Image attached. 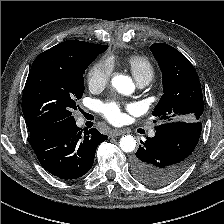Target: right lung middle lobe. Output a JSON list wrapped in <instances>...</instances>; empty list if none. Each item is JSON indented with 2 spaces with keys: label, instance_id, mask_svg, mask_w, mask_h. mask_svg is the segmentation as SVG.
<instances>
[{
  "label": "right lung middle lobe",
  "instance_id": "obj_1",
  "mask_svg": "<svg viewBox=\"0 0 224 224\" xmlns=\"http://www.w3.org/2000/svg\"><path fill=\"white\" fill-rule=\"evenodd\" d=\"M107 45L83 60L33 62L22 98L25 122L30 130L47 123L72 121L76 100L84 92L83 74Z\"/></svg>",
  "mask_w": 224,
  "mask_h": 224
}]
</instances>
